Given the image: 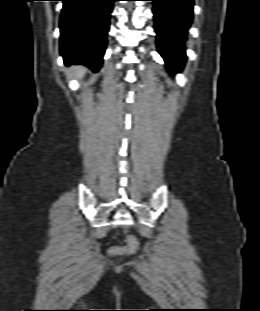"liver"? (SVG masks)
<instances>
[{
    "instance_id": "6515ba94",
    "label": "liver",
    "mask_w": 260,
    "mask_h": 311,
    "mask_svg": "<svg viewBox=\"0 0 260 311\" xmlns=\"http://www.w3.org/2000/svg\"><path fill=\"white\" fill-rule=\"evenodd\" d=\"M75 72H76V76L77 77H82L83 76V73H84V69L82 67H77L75 69Z\"/></svg>"
}]
</instances>
